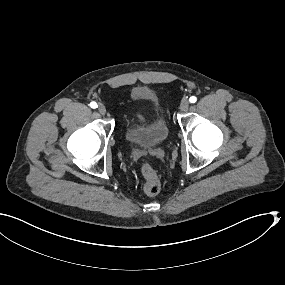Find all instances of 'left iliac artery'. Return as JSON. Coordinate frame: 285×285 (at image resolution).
<instances>
[{"label":"left iliac artery","mask_w":285,"mask_h":285,"mask_svg":"<svg viewBox=\"0 0 285 285\" xmlns=\"http://www.w3.org/2000/svg\"><path fill=\"white\" fill-rule=\"evenodd\" d=\"M189 101H190L191 103H195V102L197 101V98H196L195 96H191V97L189 98Z\"/></svg>","instance_id":"left-iliac-artery-1"}]
</instances>
